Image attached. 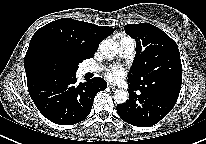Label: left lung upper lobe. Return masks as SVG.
<instances>
[{"label": "left lung upper lobe", "instance_id": "5c2ea615", "mask_svg": "<svg viewBox=\"0 0 206 144\" xmlns=\"http://www.w3.org/2000/svg\"><path fill=\"white\" fill-rule=\"evenodd\" d=\"M125 31L136 40V56L127 81L147 87H181L182 64L175 41L149 23L128 24Z\"/></svg>", "mask_w": 206, "mask_h": 144}]
</instances>
